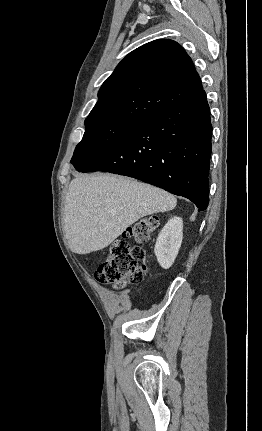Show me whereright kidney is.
I'll return each instance as SVG.
<instances>
[{
  "instance_id": "ca27d5eb",
  "label": "right kidney",
  "mask_w": 262,
  "mask_h": 431,
  "mask_svg": "<svg viewBox=\"0 0 262 431\" xmlns=\"http://www.w3.org/2000/svg\"><path fill=\"white\" fill-rule=\"evenodd\" d=\"M183 221L180 217L170 219L161 230L155 245V255L160 266L168 269L180 249L183 238Z\"/></svg>"
}]
</instances>
